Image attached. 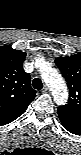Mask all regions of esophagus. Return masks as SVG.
Masks as SVG:
<instances>
[{"label": "esophagus", "mask_w": 81, "mask_h": 155, "mask_svg": "<svg viewBox=\"0 0 81 155\" xmlns=\"http://www.w3.org/2000/svg\"><path fill=\"white\" fill-rule=\"evenodd\" d=\"M42 92H49V88L47 86H45L43 89H42Z\"/></svg>", "instance_id": "34e87169"}]
</instances>
